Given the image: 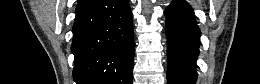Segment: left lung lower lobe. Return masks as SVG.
<instances>
[{
  "instance_id": "left-lung-lower-lobe-1",
  "label": "left lung lower lobe",
  "mask_w": 260,
  "mask_h": 84,
  "mask_svg": "<svg viewBox=\"0 0 260 84\" xmlns=\"http://www.w3.org/2000/svg\"><path fill=\"white\" fill-rule=\"evenodd\" d=\"M167 35V83L195 84L200 31L194 12L184 0L173 1L165 10Z\"/></svg>"
}]
</instances>
